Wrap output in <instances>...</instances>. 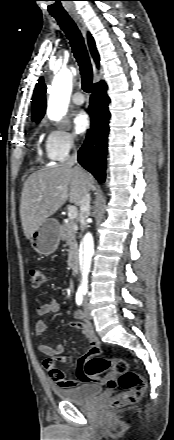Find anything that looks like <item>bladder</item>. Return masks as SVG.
I'll return each instance as SVG.
<instances>
[{"mask_svg": "<svg viewBox=\"0 0 174 440\" xmlns=\"http://www.w3.org/2000/svg\"><path fill=\"white\" fill-rule=\"evenodd\" d=\"M54 392L62 401L85 404L101 393V387L94 384H83L68 389L56 388Z\"/></svg>", "mask_w": 174, "mask_h": 440, "instance_id": "31cf9c89", "label": "bladder"}]
</instances>
